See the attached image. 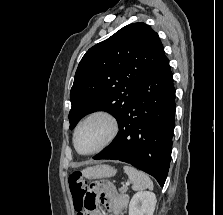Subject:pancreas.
<instances>
[{"label": "pancreas", "instance_id": "obj_1", "mask_svg": "<svg viewBox=\"0 0 223 215\" xmlns=\"http://www.w3.org/2000/svg\"><path fill=\"white\" fill-rule=\"evenodd\" d=\"M128 187H119V191H123V193H125V191H127Z\"/></svg>", "mask_w": 223, "mask_h": 215}]
</instances>
